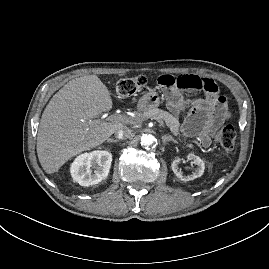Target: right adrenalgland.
<instances>
[{"mask_svg": "<svg viewBox=\"0 0 269 269\" xmlns=\"http://www.w3.org/2000/svg\"><path fill=\"white\" fill-rule=\"evenodd\" d=\"M107 142H111V143H117L119 142V140H116V139H113V138H110L107 140Z\"/></svg>", "mask_w": 269, "mask_h": 269, "instance_id": "1", "label": "right adrenal gland"}]
</instances>
